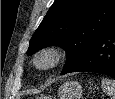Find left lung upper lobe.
Returning a JSON list of instances; mask_svg holds the SVG:
<instances>
[{"label":"left lung upper lobe","instance_id":"1","mask_svg":"<svg viewBox=\"0 0 115 99\" xmlns=\"http://www.w3.org/2000/svg\"><path fill=\"white\" fill-rule=\"evenodd\" d=\"M115 24V0H55L29 43L28 55L51 45L67 52V73Z\"/></svg>","mask_w":115,"mask_h":99}]
</instances>
